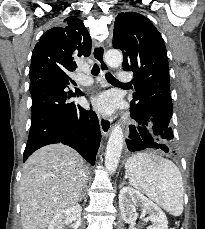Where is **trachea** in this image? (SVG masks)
Masks as SVG:
<instances>
[{"instance_id":"3493384b","label":"trachea","mask_w":205,"mask_h":229,"mask_svg":"<svg viewBox=\"0 0 205 229\" xmlns=\"http://www.w3.org/2000/svg\"><path fill=\"white\" fill-rule=\"evenodd\" d=\"M99 71H100L99 66L97 64H95L92 68L91 73L94 76H96V75H98ZM105 76H106L107 81L110 83L124 85L121 82H119L111 73H106Z\"/></svg>"}]
</instances>
